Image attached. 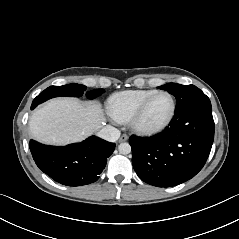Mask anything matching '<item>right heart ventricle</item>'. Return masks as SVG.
<instances>
[{"label":"right heart ventricle","mask_w":239,"mask_h":239,"mask_svg":"<svg viewBox=\"0 0 239 239\" xmlns=\"http://www.w3.org/2000/svg\"><path fill=\"white\" fill-rule=\"evenodd\" d=\"M155 92L156 90H124L113 93L107 100V109L116 121H128L139 104Z\"/></svg>","instance_id":"obj_1"}]
</instances>
